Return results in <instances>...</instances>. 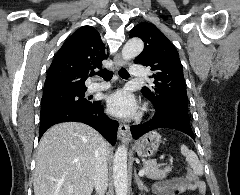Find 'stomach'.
Here are the masks:
<instances>
[{"instance_id": "stomach-1", "label": "stomach", "mask_w": 240, "mask_h": 195, "mask_svg": "<svg viewBox=\"0 0 240 195\" xmlns=\"http://www.w3.org/2000/svg\"><path fill=\"white\" fill-rule=\"evenodd\" d=\"M161 143V135L158 131H148L145 135H142L140 139H137L133 145L137 155L139 157H150L155 151H157Z\"/></svg>"}]
</instances>
